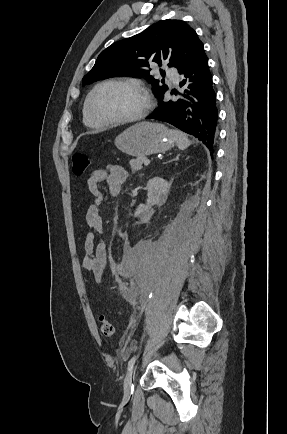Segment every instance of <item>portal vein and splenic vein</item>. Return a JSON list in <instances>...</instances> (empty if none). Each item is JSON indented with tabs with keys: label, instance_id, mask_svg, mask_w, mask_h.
<instances>
[{
	"label": "portal vein and splenic vein",
	"instance_id": "18ae733b",
	"mask_svg": "<svg viewBox=\"0 0 287 434\" xmlns=\"http://www.w3.org/2000/svg\"><path fill=\"white\" fill-rule=\"evenodd\" d=\"M150 164V160L149 159H144V165L147 166Z\"/></svg>",
	"mask_w": 287,
	"mask_h": 434
}]
</instances>
